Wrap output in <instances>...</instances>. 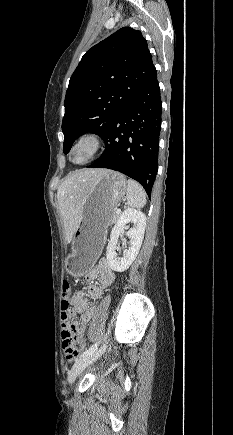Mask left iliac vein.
I'll return each instance as SVG.
<instances>
[{"instance_id":"4c4485c4","label":"left iliac vein","mask_w":233,"mask_h":435,"mask_svg":"<svg viewBox=\"0 0 233 435\" xmlns=\"http://www.w3.org/2000/svg\"><path fill=\"white\" fill-rule=\"evenodd\" d=\"M104 346H102L99 350H95L93 353L89 355H85L80 357L73 364L71 370L68 372V381L69 383H73L78 376L87 366L96 361L104 352Z\"/></svg>"}]
</instances>
